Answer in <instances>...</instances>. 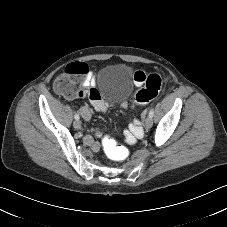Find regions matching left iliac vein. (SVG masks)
I'll return each instance as SVG.
<instances>
[{
  "label": "left iliac vein",
  "mask_w": 227,
  "mask_h": 227,
  "mask_svg": "<svg viewBox=\"0 0 227 227\" xmlns=\"http://www.w3.org/2000/svg\"><path fill=\"white\" fill-rule=\"evenodd\" d=\"M153 125V120L152 118L148 117L145 122H144V127L146 130L150 129Z\"/></svg>",
  "instance_id": "left-iliac-vein-1"
}]
</instances>
